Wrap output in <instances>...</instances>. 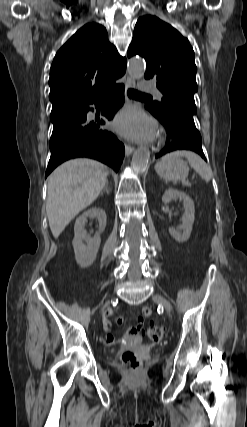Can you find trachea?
<instances>
[{
  "label": "trachea",
  "instance_id": "1",
  "mask_svg": "<svg viewBox=\"0 0 247 427\" xmlns=\"http://www.w3.org/2000/svg\"><path fill=\"white\" fill-rule=\"evenodd\" d=\"M127 93L130 97H147V96H150V95H147L145 93H141V92L134 90V89H129Z\"/></svg>",
  "mask_w": 247,
  "mask_h": 427
}]
</instances>
